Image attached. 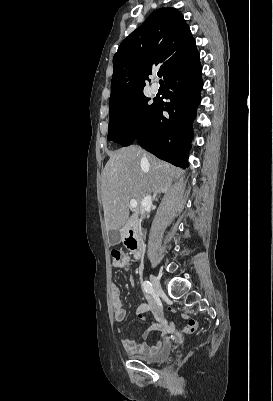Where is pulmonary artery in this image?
Wrapping results in <instances>:
<instances>
[{"mask_svg": "<svg viewBox=\"0 0 273 401\" xmlns=\"http://www.w3.org/2000/svg\"><path fill=\"white\" fill-rule=\"evenodd\" d=\"M162 86V83L160 80H153L151 82V87L154 89V91H157V89H160Z\"/></svg>", "mask_w": 273, "mask_h": 401, "instance_id": "e3ab8cb5", "label": "pulmonary artery"}]
</instances>
